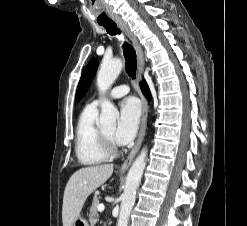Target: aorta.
Instances as JSON below:
<instances>
[{
    "mask_svg": "<svg viewBox=\"0 0 247 226\" xmlns=\"http://www.w3.org/2000/svg\"><path fill=\"white\" fill-rule=\"evenodd\" d=\"M123 63L119 59L103 61L97 75V87L101 97V114L99 126L114 125L118 117L116 107L103 96L119 76ZM147 149L144 148L133 162L126 178L124 192L121 197V209L117 226H127L128 217L136 199V191L146 166Z\"/></svg>",
    "mask_w": 247,
    "mask_h": 226,
    "instance_id": "aorta-1",
    "label": "aorta"
}]
</instances>
